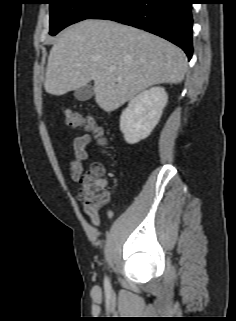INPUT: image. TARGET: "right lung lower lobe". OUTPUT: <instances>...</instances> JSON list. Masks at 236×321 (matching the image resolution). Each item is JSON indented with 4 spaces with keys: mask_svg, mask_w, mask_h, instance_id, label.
<instances>
[{
    "mask_svg": "<svg viewBox=\"0 0 236 321\" xmlns=\"http://www.w3.org/2000/svg\"><path fill=\"white\" fill-rule=\"evenodd\" d=\"M192 0H110L91 19H107L134 26L163 37L193 53Z\"/></svg>",
    "mask_w": 236,
    "mask_h": 321,
    "instance_id": "98d812e1",
    "label": "right lung lower lobe"
}]
</instances>
